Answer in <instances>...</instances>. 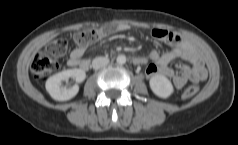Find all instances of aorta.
Listing matches in <instances>:
<instances>
[{"label":"aorta","instance_id":"aorta-1","mask_svg":"<svg viewBox=\"0 0 238 145\" xmlns=\"http://www.w3.org/2000/svg\"><path fill=\"white\" fill-rule=\"evenodd\" d=\"M116 62L118 63V64H125L126 63V57H125V55H118L117 56V59H116Z\"/></svg>","mask_w":238,"mask_h":145}]
</instances>
